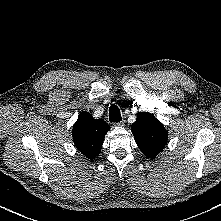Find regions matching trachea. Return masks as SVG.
<instances>
[{"mask_svg": "<svg viewBox=\"0 0 221 221\" xmlns=\"http://www.w3.org/2000/svg\"><path fill=\"white\" fill-rule=\"evenodd\" d=\"M109 120L111 122H120L122 120L119 108L112 104L109 109Z\"/></svg>", "mask_w": 221, "mask_h": 221, "instance_id": "obj_1", "label": "trachea"}]
</instances>
